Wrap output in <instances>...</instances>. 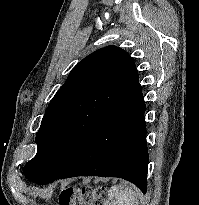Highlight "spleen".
<instances>
[{
	"instance_id": "spleen-1",
	"label": "spleen",
	"mask_w": 199,
	"mask_h": 205,
	"mask_svg": "<svg viewBox=\"0 0 199 205\" xmlns=\"http://www.w3.org/2000/svg\"><path fill=\"white\" fill-rule=\"evenodd\" d=\"M112 205H138L135 190L128 185L112 186L108 192Z\"/></svg>"
}]
</instances>
